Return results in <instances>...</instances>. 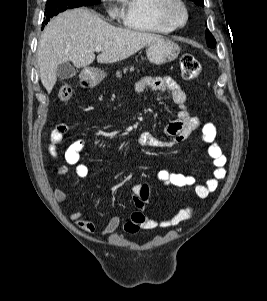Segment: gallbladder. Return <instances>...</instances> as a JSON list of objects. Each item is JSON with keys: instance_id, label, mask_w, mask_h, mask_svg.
Masks as SVG:
<instances>
[{"instance_id": "bac80fb5", "label": "gallbladder", "mask_w": 267, "mask_h": 301, "mask_svg": "<svg viewBox=\"0 0 267 301\" xmlns=\"http://www.w3.org/2000/svg\"><path fill=\"white\" fill-rule=\"evenodd\" d=\"M76 75V69L70 62H65L57 67V76L59 79H69Z\"/></svg>"}]
</instances>
